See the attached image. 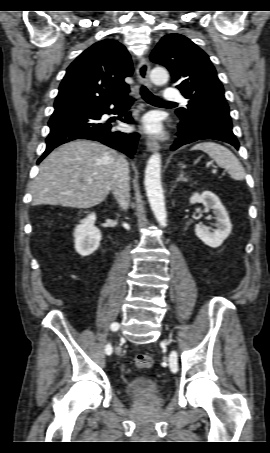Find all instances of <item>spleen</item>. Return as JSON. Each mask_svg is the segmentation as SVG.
Listing matches in <instances>:
<instances>
[{
	"instance_id": "obj_1",
	"label": "spleen",
	"mask_w": 270,
	"mask_h": 453,
	"mask_svg": "<svg viewBox=\"0 0 270 453\" xmlns=\"http://www.w3.org/2000/svg\"><path fill=\"white\" fill-rule=\"evenodd\" d=\"M192 150H201L209 155L218 166L225 168L234 180H244L245 171L238 158L226 147L214 142H202Z\"/></svg>"
}]
</instances>
